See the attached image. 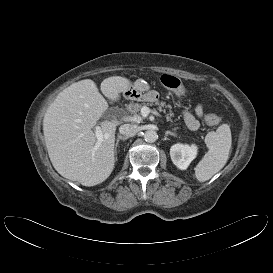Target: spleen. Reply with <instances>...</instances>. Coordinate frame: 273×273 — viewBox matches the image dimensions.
I'll return each mask as SVG.
<instances>
[{
    "mask_svg": "<svg viewBox=\"0 0 273 273\" xmlns=\"http://www.w3.org/2000/svg\"><path fill=\"white\" fill-rule=\"evenodd\" d=\"M205 143L208 152L195 167V176L200 182L209 180L227 163L232 144L229 125L222 124L215 132H209L206 135Z\"/></svg>",
    "mask_w": 273,
    "mask_h": 273,
    "instance_id": "3e777b00",
    "label": "spleen"
}]
</instances>
